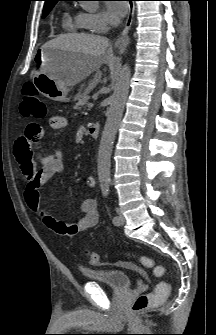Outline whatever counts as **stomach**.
<instances>
[{"instance_id": "obj_1", "label": "stomach", "mask_w": 216, "mask_h": 335, "mask_svg": "<svg viewBox=\"0 0 216 335\" xmlns=\"http://www.w3.org/2000/svg\"><path fill=\"white\" fill-rule=\"evenodd\" d=\"M75 53L42 47L37 53L36 62L40 64V70L36 72L33 82L37 89L47 98L57 102H68L69 88L54 78L57 73H62L70 64ZM79 94L75 97L77 99Z\"/></svg>"}]
</instances>
